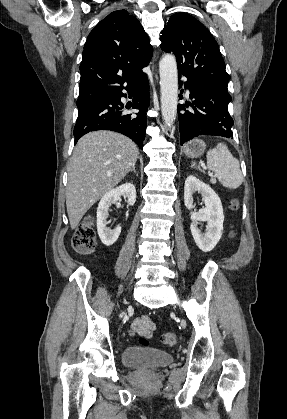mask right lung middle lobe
I'll use <instances>...</instances> for the list:
<instances>
[{"label": "right lung middle lobe", "mask_w": 287, "mask_h": 419, "mask_svg": "<svg viewBox=\"0 0 287 419\" xmlns=\"http://www.w3.org/2000/svg\"><path fill=\"white\" fill-rule=\"evenodd\" d=\"M89 106H78V114L82 113L85 109H87Z\"/></svg>", "instance_id": "1"}]
</instances>
